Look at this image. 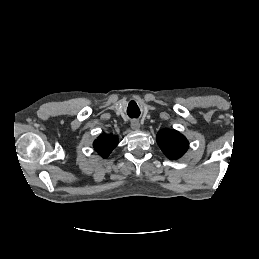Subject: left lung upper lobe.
<instances>
[{
    "label": "left lung upper lobe",
    "mask_w": 259,
    "mask_h": 259,
    "mask_svg": "<svg viewBox=\"0 0 259 259\" xmlns=\"http://www.w3.org/2000/svg\"><path fill=\"white\" fill-rule=\"evenodd\" d=\"M157 143L171 160L179 159L188 149L189 142L184 135L172 129H162L157 134Z\"/></svg>",
    "instance_id": "5c2ea615"
}]
</instances>
